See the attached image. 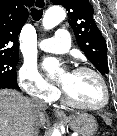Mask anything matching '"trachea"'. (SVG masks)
<instances>
[{
    "instance_id": "trachea-1",
    "label": "trachea",
    "mask_w": 117,
    "mask_h": 136,
    "mask_svg": "<svg viewBox=\"0 0 117 136\" xmlns=\"http://www.w3.org/2000/svg\"><path fill=\"white\" fill-rule=\"evenodd\" d=\"M36 6L41 8L38 2L36 3ZM42 15H43L42 9H36V8L31 9V16L34 21H39L42 18Z\"/></svg>"
}]
</instances>
